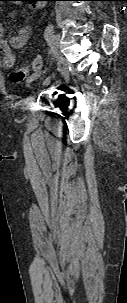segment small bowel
Returning a JSON list of instances; mask_svg holds the SVG:
<instances>
[{
  "label": "small bowel",
  "instance_id": "obj_1",
  "mask_svg": "<svg viewBox=\"0 0 127 303\" xmlns=\"http://www.w3.org/2000/svg\"><path fill=\"white\" fill-rule=\"evenodd\" d=\"M29 37L28 28H22L15 36L5 40L3 37V28L0 25V53L2 54V66L4 68H12L17 62L16 50L22 48Z\"/></svg>",
  "mask_w": 127,
  "mask_h": 303
}]
</instances>
